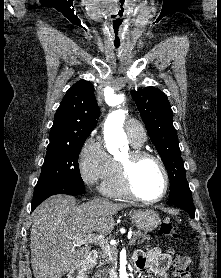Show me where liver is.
<instances>
[{"label": "liver", "mask_w": 221, "mask_h": 278, "mask_svg": "<svg viewBox=\"0 0 221 278\" xmlns=\"http://www.w3.org/2000/svg\"><path fill=\"white\" fill-rule=\"evenodd\" d=\"M133 204L94 199L77 205L69 196L56 195L33 213L30 234L31 266L35 278H61L89 254L90 247L76 243L93 232L107 235L113 216Z\"/></svg>", "instance_id": "6515ba94"}]
</instances>
